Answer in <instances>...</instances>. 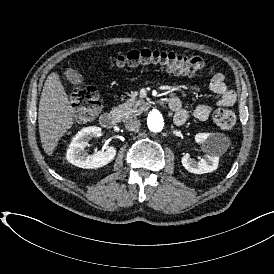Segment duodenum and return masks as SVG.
Returning <instances> with one entry per match:
<instances>
[{
    "mask_svg": "<svg viewBox=\"0 0 274 274\" xmlns=\"http://www.w3.org/2000/svg\"><path fill=\"white\" fill-rule=\"evenodd\" d=\"M171 107H176L179 104L177 98H172L169 101ZM100 123L103 128L107 130H113L117 127L118 124V116L112 112L104 113L100 118Z\"/></svg>",
    "mask_w": 274,
    "mask_h": 274,
    "instance_id": "410a0bca",
    "label": "duodenum"
}]
</instances>
